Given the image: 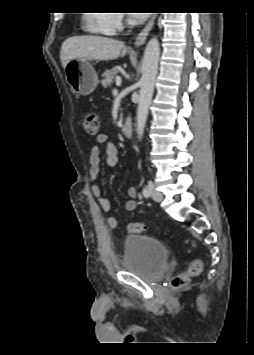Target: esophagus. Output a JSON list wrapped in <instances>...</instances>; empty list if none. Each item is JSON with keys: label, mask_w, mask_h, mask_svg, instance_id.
Returning a JSON list of instances; mask_svg holds the SVG:
<instances>
[{"label": "esophagus", "mask_w": 254, "mask_h": 355, "mask_svg": "<svg viewBox=\"0 0 254 355\" xmlns=\"http://www.w3.org/2000/svg\"><path fill=\"white\" fill-rule=\"evenodd\" d=\"M157 14L154 13L152 14L151 19L149 20V22L147 23V25L144 27V29L137 35L136 39H135V46L139 47L141 45H143L147 39L148 34L150 33V31L152 30L155 20H156Z\"/></svg>", "instance_id": "obj_1"}]
</instances>
